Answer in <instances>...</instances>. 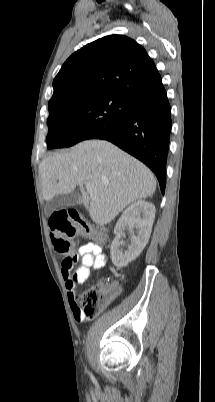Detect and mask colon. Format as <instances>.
Segmentation results:
<instances>
[{
    "instance_id": "1",
    "label": "colon",
    "mask_w": 215,
    "mask_h": 402,
    "mask_svg": "<svg viewBox=\"0 0 215 402\" xmlns=\"http://www.w3.org/2000/svg\"><path fill=\"white\" fill-rule=\"evenodd\" d=\"M51 230V241L54 250L64 255L63 266L76 271L78 261L74 258L75 248L79 243L70 241L75 235L92 238L100 242L104 241L103 236L94 230L86 221L79 217L74 210H60L53 213L49 220ZM114 291L111 288H91L84 291L78 298L81 312L87 317L98 315L109 303Z\"/></svg>"
}]
</instances>
